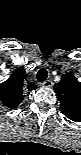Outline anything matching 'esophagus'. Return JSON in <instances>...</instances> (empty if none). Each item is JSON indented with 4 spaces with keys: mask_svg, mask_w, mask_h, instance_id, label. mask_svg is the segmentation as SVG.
I'll return each instance as SVG.
<instances>
[{
    "mask_svg": "<svg viewBox=\"0 0 81 155\" xmlns=\"http://www.w3.org/2000/svg\"><path fill=\"white\" fill-rule=\"evenodd\" d=\"M40 85L44 88H50L53 85V83L50 79H48V80L42 82Z\"/></svg>",
    "mask_w": 81,
    "mask_h": 155,
    "instance_id": "1",
    "label": "esophagus"
}]
</instances>
